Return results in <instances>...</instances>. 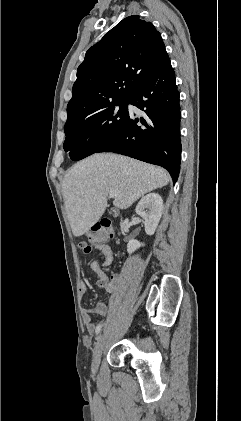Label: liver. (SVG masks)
Segmentation results:
<instances>
[{
  "instance_id": "6515ba94",
  "label": "liver",
  "mask_w": 241,
  "mask_h": 421,
  "mask_svg": "<svg viewBox=\"0 0 241 421\" xmlns=\"http://www.w3.org/2000/svg\"><path fill=\"white\" fill-rule=\"evenodd\" d=\"M169 174L162 168L113 154L96 153L75 164L62 182L67 217L79 237L104 214L107 197L117 193L114 206L127 209L140 197L166 186Z\"/></svg>"
}]
</instances>
